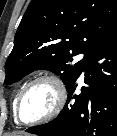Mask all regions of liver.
I'll list each match as a JSON object with an SVG mask.
<instances>
[{
	"instance_id": "6515ba94",
	"label": "liver",
	"mask_w": 117,
	"mask_h": 136,
	"mask_svg": "<svg viewBox=\"0 0 117 136\" xmlns=\"http://www.w3.org/2000/svg\"><path fill=\"white\" fill-rule=\"evenodd\" d=\"M10 136H29V135H27V134H25V133H23V132H19V133H13V134L10 135Z\"/></svg>"
}]
</instances>
